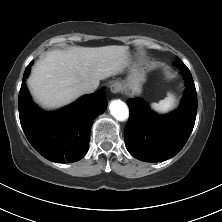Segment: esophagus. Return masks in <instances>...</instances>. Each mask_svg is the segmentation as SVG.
I'll return each mask as SVG.
<instances>
[{
  "label": "esophagus",
  "mask_w": 222,
  "mask_h": 222,
  "mask_svg": "<svg viewBox=\"0 0 222 222\" xmlns=\"http://www.w3.org/2000/svg\"><path fill=\"white\" fill-rule=\"evenodd\" d=\"M122 87L119 83H113L111 86H110V90L112 93L114 94H117L121 91Z\"/></svg>",
  "instance_id": "esophagus-1"
}]
</instances>
